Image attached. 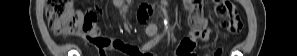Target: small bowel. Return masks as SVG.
Returning <instances> with one entry per match:
<instances>
[{
    "mask_svg": "<svg viewBox=\"0 0 297 56\" xmlns=\"http://www.w3.org/2000/svg\"><path fill=\"white\" fill-rule=\"evenodd\" d=\"M117 7H123L125 11L128 10L130 0H113ZM186 8L190 11L189 25L191 28L190 36L184 38L175 50V55L180 56H195L193 49L197 39L209 41L212 30L208 27V18L202 13L201 3L193 0L185 1ZM152 14L150 6H143L139 12L138 19L140 22H145ZM85 41L88 45H94V49L100 50V55L104 56L109 48L121 50L131 56H153L150 53H140L137 48L126 44L119 40H108V36H101V33H85Z\"/></svg>",
    "mask_w": 297,
    "mask_h": 56,
    "instance_id": "obj_1",
    "label": "small bowel"
}]
</instances>
